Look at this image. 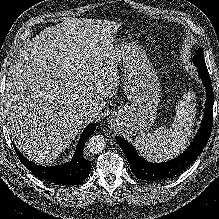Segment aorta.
<instances>
[{
  "mask_svg": "<svg viewBox=\"0 0 219 219\" xmlns=\"http://www.w3.org/2000/svg\"><path fill=\"white\" fill-rule=\"evenodd\" d=\"M88 150L91 153H100L102 152L106 147V141L105 138L101 135H94L90 137L86 143Z\"/></svg>",
  "mask_w": 219,
  "mask_h": 219,
  "instance_id": "obj_1",
  "label": "aorta"
}]
</instances>
